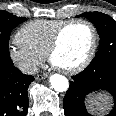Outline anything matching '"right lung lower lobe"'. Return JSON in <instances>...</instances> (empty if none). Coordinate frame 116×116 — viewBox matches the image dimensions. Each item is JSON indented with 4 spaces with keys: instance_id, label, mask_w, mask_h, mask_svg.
<instances>
[{
    "instance_id": "right-lung-lower-lobe-1",
    "label": "right lung lower lobe",
    "mask_w": 116,
    "mask_h": 116,
    "mask_svg": "<svg viewBox=\"0 0 116 116\" xmlns=\"http://www.w3.org/2000/svg\"><path fill=\"white\" fill-rule=\"evenodd\" d=\"M33 80V76L22 74L13 65L0 69V116H26L27 90Z\"/></svg>"
}]
</instances>
